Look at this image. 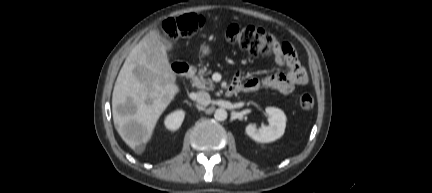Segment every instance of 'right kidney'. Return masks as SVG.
I'll list each match as a JSON object with an SVG mask.
<instances>
[{"instance_id": "right-kidney-1", "label": "right kidney", "mask_w": 432, "mask_h": 193, "mask_svg": "<svg viewBox=\"0 0 432 193\" xmlns=\"http://www.w3.org/2000/svg\"><path fill=\"white\" fill-rule=\"evenodd\" d=\"M184 116H185V113L182 110H177V111L169 114L164 120V124H165L166 128L171 130V131L177 130L181 126V124L184 120Z\"/></svg>"}]
</instances>
